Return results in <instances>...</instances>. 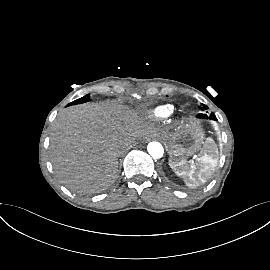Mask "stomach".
<instances>
[{
  "mask_svg": "<svg viewBox=\"0 0 270 270\" xmlns=\"http://www.w3.org/2000/svg\"><path fill=\"white\" fill-rule=\"evenodd\" d=\"M203 139V130L195 121L185 122L174 132L164 135V141L170 153L169 164L176 173L182 172L183 161L200 150Z\"/></svg>",
  "mask_w": 270,
  "mask_h": 270,
  "instance_id": "obj_1",
  "label": "stomach"
}]
</instances>
